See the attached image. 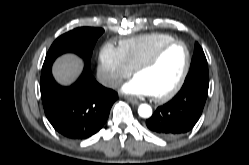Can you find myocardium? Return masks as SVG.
Masks as SVG:
<instances>
[{
    "label": "myocardium",
    "mask_w": 249,
    "mask_h": 165,
    "mask_svg": "<svg viewBox=\"0 0 249 165\" xmlns=\"http://www.w3.org/2000/svg\"><path fill=\"white\" fill-rule=\"evenodd\" d=\"M175 45H182L186 51V62H185V66L184 69L181 73V76L178 80V82L176 83V85L168 92L162 94V95H152V98L154 101L156 102H166L168 100H170L171 98H173L183 87L185 80L188 76V73L190 71V67H191V52L190 49L188 47V45L181 41V40H172L168 43L163 44L162 46H160L155 53L150 56L148 59H146L145 61L141 62L139 65H137V67L134 69V75H137L139 72L150 68L151 66H153L154 64H156L159 59L162 57V55L164 54V52L169 49L172 46Z\"/></svg>",
    "instance_id": "myocardium-1"
}]
</instances>
